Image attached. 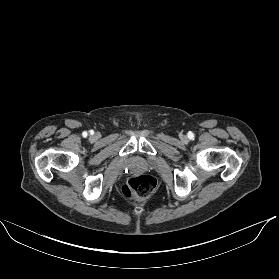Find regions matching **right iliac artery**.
<instances>
[{
  "instance_id": "82829eb1",
  "label": "right iliac artery",
  "mask_w": 279,
  "mask_h": 279,
  "mask_svg": "<svg viewBox=\"0 0 279 279\" xmlns=\"http://www.w3.org/2000/svg\"><path fill=\"white\" fill-rule=\"evenodd\" d=\"M83 135H87V133H86V132H84V133H83Z\"/></svg>"
}]
</instances>
